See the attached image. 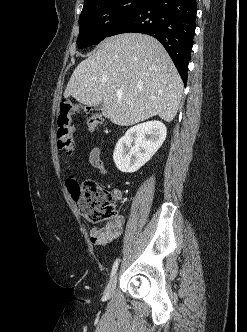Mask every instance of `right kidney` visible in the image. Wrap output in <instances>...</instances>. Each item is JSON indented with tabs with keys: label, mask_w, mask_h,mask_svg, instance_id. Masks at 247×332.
I'll return each instance as SVG.
<instances>
[{
	"label": "right kidney",
	"mask_w": 247,
	"mask_h": 332,
	"mask_svg": "<svg viewBox=\"0 0 247 332\" xmlns=\"http://www.w3.org/2000/svg\"><path fill=\"white\" fill-rule=\"evenodd\" d=\"M166 133V126L156 120L131 127L115 146L113 160L118 170L133 173L140 169L161 147Z\"/></svg>",
	"instance_id": "right-kidney-1"
}]
</instances>
